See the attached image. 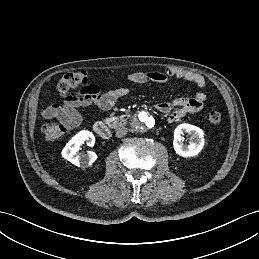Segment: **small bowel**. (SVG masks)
Instances as JSON below:
<instances>
[{"instance_id": "small-bowel-1", "label": "small bowel", "mask_w": 259, "mask_h": 259, "mask_svg": "<svg viewBox=\"0 0 259 259\" xmlns=\"http://www.w3.org/2000/svg\"><path fill=\"white\" fill-rule=\"evenodd\" d=\"M175 77L196 84L199 88L206 87V79L203 75L184 69L167 68L164 71L133 72L128 75V80L134 84L142 85L147 82L166 84L168 79ZM109 81H115L114 77H107ZM129 90L118 87L107 92H102L97 85H87L74 95L63 100L61 104H55L42 110V116L46 119H57L69 128L76 127L81 122L78 111L81 107L95 105L102 110H110ZM206 94L197 92L190 98H176L171 101H161L155 105L162 113L169 114L168 122L173 123L188 113H197L202 110Z\"/></svg>"}]
</instances>
